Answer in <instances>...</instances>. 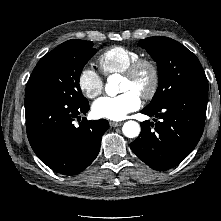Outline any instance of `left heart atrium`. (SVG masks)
<instances>
[{"mask_svg": "<svg viewBox=\"0 0 221 221\" xmlns=\"http://www.w3.org/2000/svg\"><path fill=\"white\" fill-rule=\"evenodd\" d=\"M140 106V95L134 91H126L117 96L99 98L94 102L92 112L98 118L118 121L126 118Z\"/></svg>", "mask_w": 221, "mask_h": 221, "instance_id": "obj_1", "label": "left heart atrium"}]
</instances>
